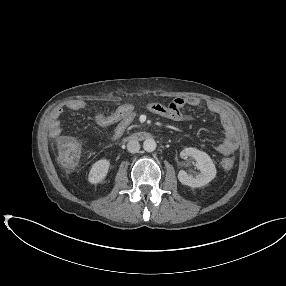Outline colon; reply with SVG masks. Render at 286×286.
Masks as SVG:
<instances>
[{
	"instance_id": "5ec220e1",
	"label": "colon",
	"mask_w": 286,
	"mask_h": 286,
	"mask_svg": "<svg viewBox=\"0 0 286 286\" xmlns=\"http://www.w3.org/2000/svg\"><path fill=\"white\" fill-rule=\"evenodd\" d=\"M58 158L60 163L66 168H74L80 158L81 148L80 144L69 137H59L57 139ZM233 159L226 158L222 162L225 169H231L233 166Z\"/></svg>"
}]
</instances>
